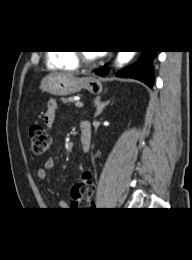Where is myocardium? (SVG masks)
Here are the masks:
<instances>
[{
  "label": "myocardium",
  "mask_w": 192,
  "mask_h": 260,
  "mask_svg": "<svg viewBox=\"0 0 192 260\" xmlns=\"http://www.w3.org/2000/svg\"><path fill=\"white\" fill-rule=\"evenodd\" d=\"M73 53H74L77 61L79 63H82L83 65H86V66H93V65L97 64L99 62V59H100V57L98 55L93 57V58H90L85 54V52H82V51H79V50H77Z\"/></svg>",
  "instance_id": "myocardium-1"
}]
</instances>
